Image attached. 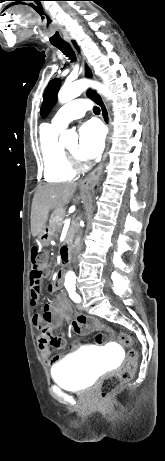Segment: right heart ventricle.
I'll return each instance as SVG.
<instances>
[{
  "mask_svg": "<svg viewBox=\"0 0 165 461\" xmlns=\"http://www.w3.org/2000/svg\"><path fill=\"white\" fill-rule=\"evenodd\" d=\"M61 128L44 124L39 132V148L43 160V174L47 182H64L75 177L64 148L58 141Z\"/></svg>",
  "mask_w": 165,
  "mask_h": 461,
  "instance_id": "obj_1",
  "label": "right heart ventricle"
}]
</instances>
